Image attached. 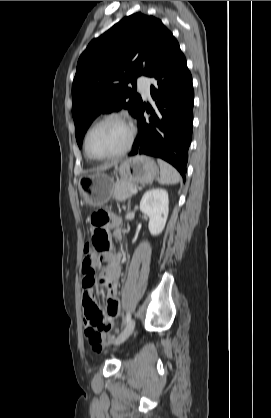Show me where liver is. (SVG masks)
Listing matches in <instances>:
<instances>
[{
    "label": "liver",
    "mask_w": 271,
    "mask_h": 418,
    "mask_svg": "<svg viewBox=\"0 0 271 418\" xmlns=\"http://www.w3.org/2000/svg\"><path fill=\"white\" fill-rule=\"evenodd\" d=\"M115 164H116V163H114V165H115ZM112 166H113V164L106 165V166L102 167V168L100 169V171L106 170V169H108V168H110V167H112Z\"/></svg>",
    "instance_id": "1"
}]
</instances>
